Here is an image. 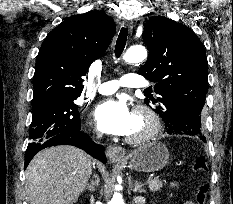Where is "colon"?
<instances>
[{
  "label": "colon",
  "instance_id": "colon-1",
  "mask_svg": "<svg viewBox=\"0 0 233 204\" xmlns=\"http://www.w3.org/2000/svg\"><path fill=\"white\" fill-rule=\"evenodd\" d=\"M192 170L197 174L206 175L209 170L207 160L203 157L196 159L192 165ZM209 190L210 186L207 182L200 183L196 189L194 204H205Z\"/></svg>",
  "mask_w": 233,
  "mask_h": 204
}]
</instances>
